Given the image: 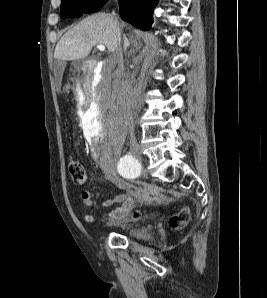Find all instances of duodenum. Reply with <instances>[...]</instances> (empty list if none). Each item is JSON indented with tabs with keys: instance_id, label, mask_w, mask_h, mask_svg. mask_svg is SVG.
Instances as JSON below:
<instances>
[{
	"instance_id": "obj_1",
	"label": "duodenum",
	"mask_w": 267,
	"mask_h": 298,
	"mask_svg": "<svg viewBox=\"0 0 267 298\" xmlns=\"http://www.w3.org/2000/svg\"><path fill=\"white\" fill-rule=\"evenodd\" d=\"M98 62L96 61H87L83 65L85 71L81 72V75L84 76V87L81 89V94L83 99L81 100V105H83L84 115H89V112H92V105L94 102L93 92L96 89L98 79Z\"/></svg>"
}]
</instances>
